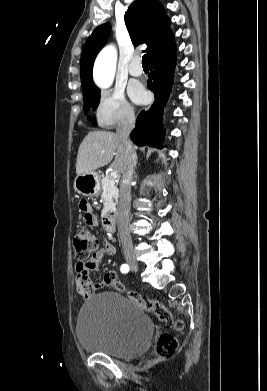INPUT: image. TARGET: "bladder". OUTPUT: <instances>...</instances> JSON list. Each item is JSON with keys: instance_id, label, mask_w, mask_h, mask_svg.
Segmentation results:
<instances>
[{"instance_id": "obj_1", "label": "bladder", "mask_w": 267, "mask_h": 391, "mask_svg": "<svg viewBox=\"0 0 267 391\" xmlns=\"http://www.w3.org/2000/svg\"><path fill=\"white\" fill-rule=\"evenodd\" d=\"M76 333L81 347L88 352L133 358L148 349L153 324L131 299L118 292H104L81 307Z\"/></svg>"}]
</instances>
